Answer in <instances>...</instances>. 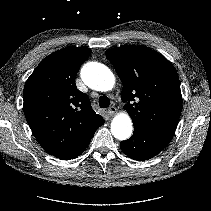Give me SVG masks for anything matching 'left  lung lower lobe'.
<instances>
[{
  "label": "left lung lower lobe",
  "instance_id": "left-lung-lower-lobe-1",
  "mask_svg": "<svg viewBox=\"0 0 211 211\" xmlns=\"http://www.w3.org/2000/svg\"><path fill=\"white\" fill-rule=\"evenodd\" d=\"M174 133L134 128V134L121 141V150L130 158L138 161L148 160L160 153L171 141Z\"/></svg>",
  "mask_w": 211,
  "mask_h": 211
}]
</instances>
